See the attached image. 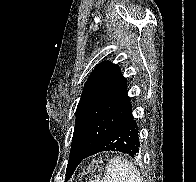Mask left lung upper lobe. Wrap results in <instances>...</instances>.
Returning a JSON list of instances; mask_svg holds the SVG:
<instances>
[{
  "mask_svg": "<svg viewBox=\"0 0 196 182\" xmlns=\"http://www.w3.org/2000/svg\"><path fill=\"white\" fill-rule=\"evenodd\" d=\"M127 81L120 67L109 61L100 63L91 73L76 109L71 152L93 151L131 110ZM70 159L66 179L75 170Z\"/></svg>",
  "mask_w": 196,
  "mask_h": 182,
  "instance_id": "obj_1",
  "label": "left lung upper lobe"
}]
</instances>
